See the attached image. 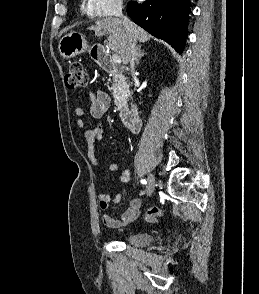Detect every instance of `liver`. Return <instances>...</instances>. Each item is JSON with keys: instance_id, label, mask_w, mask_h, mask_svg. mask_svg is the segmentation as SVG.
<instances>
[{"instance_id": "6515ba94", "label": "liver", "mask_w": 259, "mask_h": 294, "mask_svg": "<svg viewBox=\"0 0 259 294\" xmlns=\"http://www.w3.org/2000/svg\"><path fill=\"white\" fill-rule=\"evenodd\" d=\"M89 30H93L96 36L109 34L106 47L121 57L123 64L129 63L128 43L132 37L136 42H147L151 35L138 25L132 23L131 31L127 32L123 24L118 18H104L95 22V25L90 26Z\"/></svg>"}]
</instances>
